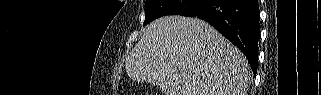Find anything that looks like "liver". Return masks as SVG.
Segmentation results:
<instances>
[{
    "instance_id": "liver-1",
    "label": "liver",
    "mask_w": 321,
    "mask_h": 95,
    "mask_svg": "<svg viewBox=\"0 0 321 95\" xmlns=\"http://www.w3.org/2000/svg\"><path fill=\"white\" fill-rule=\"evenodd\" d=\"M125 69L164 95H246L253 78L238 48L207 22L182 16L147 25Z\"/></svg>"
}]
</instances>
